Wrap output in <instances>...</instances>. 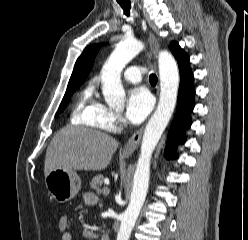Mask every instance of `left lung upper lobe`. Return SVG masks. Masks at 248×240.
<instances>
[{
  "label": "left lung upper lobe",
  "instance_id": "left-lung-upper-lobe-1",
  "mask_svg": "<svg viewBox=\"0 0 248 240\" xmlns=\"http://www.w3.org/2000/svg\"><path fill=\"white\" fill-rule=\"evenodd\" d=\"M169 47L173 55L175 56L177 62H180L187 56V53H185V51L181 49L177 42H171Z\"/></svg>",
  "mask_w": 248,
  "mask_h": 240
}]
</instances>
